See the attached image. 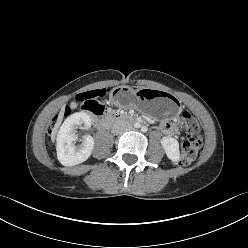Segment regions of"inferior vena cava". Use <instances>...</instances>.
<instances>
[{
  "mask_svg": "<svg viewBox=\"0 0 248 248\" xmlns=\"http://www.w3.org/2000/svg\"><path fill=\"white\" fill-rule=\"evenodd\" d=\"M131 125L127 124V123H123V122H116L115 124H113L112 126V132L114 134H119L125 130H129L131 129Z\"/></svg>",
  "mask_w": 248,
  "mask_h": 248,
  "instance_id": "1",
  "label": "inferior vena cava"
}]
</instances>
